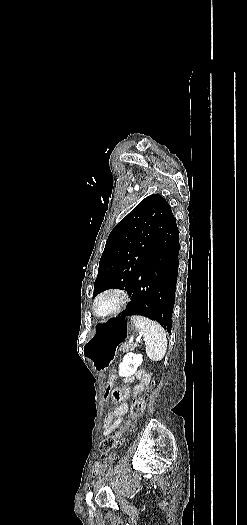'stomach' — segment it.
<instances>
[{
	"label": "stomach",
	"instance_id": "obj_1",
	"mask_svg": "<svg viewBox=\"0 0 247 525\" xmlns=\"http://www.w3.org/2000/svg\"><path fill=\"white\" fill-rule=\"evenodd\" d=\"M131 318L115 317L97 325L84 346V355L97 371H105L119 347L138 334Z\"/></svg>",
	"mask_w": 247,
	"mask_h": 525
}]
</instances>
